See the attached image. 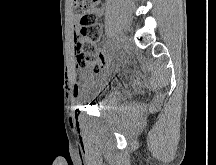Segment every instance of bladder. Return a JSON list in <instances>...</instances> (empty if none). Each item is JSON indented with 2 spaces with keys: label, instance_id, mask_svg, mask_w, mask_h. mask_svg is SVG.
I'll list each match as a JSON object with an SVG mask.
<instances>
[{
  "label": "bladder",
  "instance_id": "obj_1",
  "mask_svg": "<svg viewBox=\"0 0 216 165\" xmlns=\"http://www.w3.org/2000/svg\"><path fill=\"white\" fill-rule=\"evenodd\" d=\"M90 82L95 86V89L88 91V99L98 100L96 102L97 106H108L111 99L107 97H112V94H119V89H115V86H117L116 76L102 74L90 79Z\"/></svg>",
  "mask_w": 216,
  "mask_h": 165
}]
</instances>
